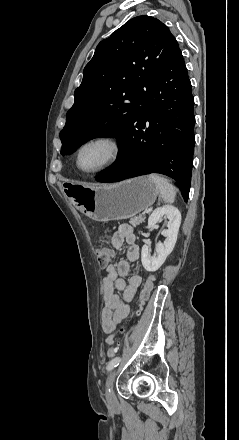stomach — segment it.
I'll return each mask as SVG.
<instances>
[{
    "mask_svg": "<svg viewBox=\"0 0 239 440\" xmlns=\"http://www.w3.org/2000/svg\"><path fill=\"white\" fill-rule=\"evenodd\" d=\"M71 192L77 210L96 222L132 218L152 206L160 194L157 184L149 176L95 188L72 184Z\"/></svg>",
    "mask_w": 239,
    "mask_h": 440,
    "instance_id": "1",
    "label": "stomach"
}]
</instances>
